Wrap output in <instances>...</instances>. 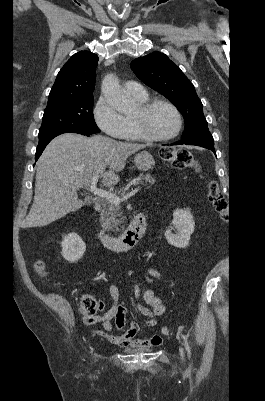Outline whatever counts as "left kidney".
Here are the masks:
<instances>
[{
	"label": "left kidney",
	"mask_w": 265,
	"mask_h": 401,
	"mask_svg": "<svg viewBox=\"0 0 265 401\" xmlns=\"http://www.w3.org/2000/svg\"><path fill=\"white\" fill-rule=\"evenodd\" d=\"M172 227L166 229L165 237L169 245L178 247V249H185L188 247L190 237L194 233L195 223L193 221V215L190 211H184V209H177L173 213ZM176 229L177 235H173L172 231Z\"/></svg>",
	"instance_id": "1"
}]
</instances>
